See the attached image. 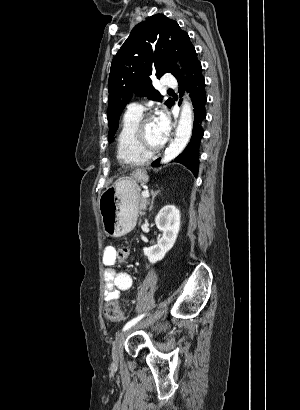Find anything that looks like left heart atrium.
Segmentation results:
<instances>
[{"label":"left heart atrium","instance_id":"39dd6f15","mask_svg":"<svg viewBox=\"0 0 300 410\" xmlns=\"http://www.w3.org/2000/svg\"><path fill=\"white\" fill-rule=\"evenodd\" d=\"M153 120L160 136L165 141L169 135L171 127L169 117L164 111H159Z\"/></svg>","mask_w":300,"mask_h":410}]
</instances>
